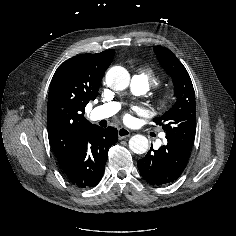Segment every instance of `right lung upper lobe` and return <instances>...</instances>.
Returning a JSON list of instances; mask_svg holds the SVG:
<instances>
[{
  "mask_svg": "<svg viewBox=\"0 0 236 236\" xmlns=\"http://www.w3.org/2000/svg\"><path fill=\"white\" fill-rule=\"evenodd\" d=\"M114 53L111 49L70 58L52 78L47 105L48 137L61 167L72 158L81 137L93 126L84 118L85 106L96 98Z\"/></svg>",
  "mask_w": 236,
  "mask_h": 236,
  "instance_id": "right-lung-upper-lobe-1",
  "label": "right lung upper lobe"
}]
</instances>
